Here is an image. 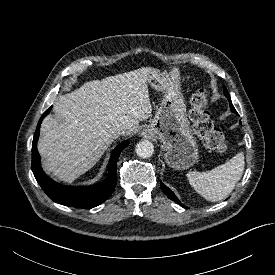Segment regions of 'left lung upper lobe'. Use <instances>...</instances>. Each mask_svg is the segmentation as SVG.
<instances>
[{
    "instance_id": "5c2ea615",
    "label": "left lung upper lobe",
    "mask_w": 275,
    "mask_h": 275,
    "mask_svg": "<svg viewBox=\"0 0 275 275\" xmlns=\"http://www.w3.org/2000/svg\"><path fill=\"white\" fill-rule=\"evenodd\" d=\"M224 94H225V95L228 94V91H227L226 87H224Z\"/></svg>"
}]
</instances>
